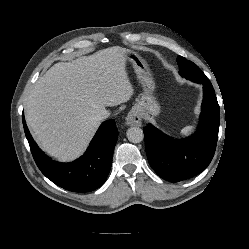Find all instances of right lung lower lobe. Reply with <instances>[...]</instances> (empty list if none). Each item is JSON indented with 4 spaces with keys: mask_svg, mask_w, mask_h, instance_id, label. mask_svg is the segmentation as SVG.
Returning a JSON list of instances; mask_svg holds the SVG:
<instances>
[{
    "mask_svg": "<svg viewBox=\"0 0 249 249\" xmlns=\"http://www.w3.org/2000/svg\"><path fill=\"white\" fill-rule=\"evenodd\" d=\"M22 118L33 158L49 180L73 192H90L103 185L111 168L118 138L113 119L101 124L84 155L73 162L60 163L45 155L38 147L27 128L24 115Z\"/></svg>",
    "mask_w": 249,
    "mask_h": 249,
    "instance_id": "right-lung-lower-lobe-1",
    "label": "right lung lower lobe"
}]
</instances>
